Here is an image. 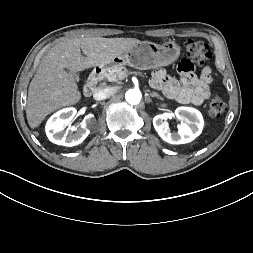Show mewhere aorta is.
<instances>
[{
	"label": "aorta",
	"mask_w": 253,
	"mask_h": 253,
	"mask_svg": "<svg viewBox=\"0 0 253 253\" xmlns=\"http://www.w3.org/2000/svg\"><path fill=\"white\" fill-rule=\"evenodd\" d=\"M142 94L138 89H129L125 93V99L129 104L137 105L140 103Z\"/></svg>",
	"instance_id": "1"
}]
</instances>
